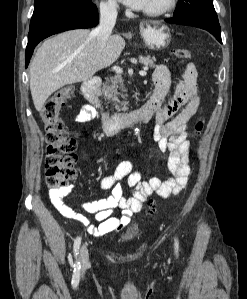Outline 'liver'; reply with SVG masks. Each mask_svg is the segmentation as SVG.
I'll return each mask as SVG.
<instances>
[{"instance_id":"1","label":"liver","mask_w":247,"mask_h":299,"mask_svg":"<svg viewBox=\"0 0 247 299\" xmlns=\"http://www.w3.org/2000/svg\"><path fill=\"white\" fill-rule=\"evenodd\" d=\"M124 47L125 40L116 34L101 50L88 29L66 31L45 40L30 67V91L36 110L41 111L58 89L85 81L115 62Z\"/></svg>"}]
</instances>
